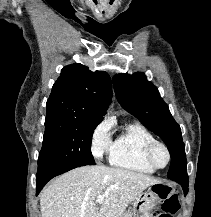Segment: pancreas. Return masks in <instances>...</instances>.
<instances>
[{
	"instance_id": "pancreas-1",
	"label": "pancreas",
	"mask_w": 211,
	"mask_h": 217,
	"mask_svg": "<svg viewBox=\"0 0 211 217\" xmlns=\"http://www.w3.org/2000/svg\"><path fill=\"white\" fill-rule=\"evenodd\" d=\"M119 217H132L131 212L128 210L127 212L123 213L121 216Z\"/></svg>"
}]
</instances>
